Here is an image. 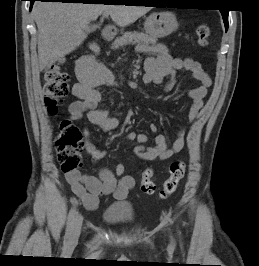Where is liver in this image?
I'll return each instance as SVG.
<instances>
[{"label":"liver","mask_w":259,"mask_h":266,"mask_svg":"<svg viewBox=\"0 0 259 266\" xmlns=\"http://www.w3.org/2000/svg\"><path fill=\"white\" fill-rule=\"evenodd\" d=\"M150 11L145 6L36 2L33 15L38 28L40 70L49 69L55 61L71 53L87 37L89 23L102 13L126 27Z\"/></svg>","instance_id":"liver-1"}]
</instances>
